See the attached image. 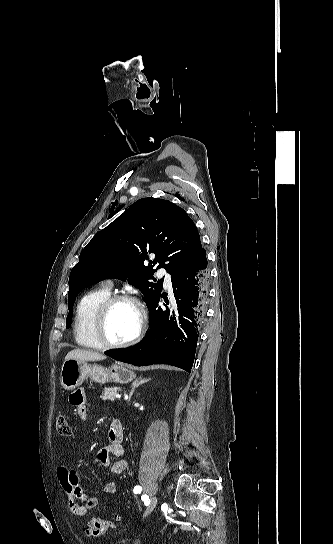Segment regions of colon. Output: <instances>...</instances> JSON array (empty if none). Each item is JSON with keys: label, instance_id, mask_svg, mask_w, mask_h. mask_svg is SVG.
<instances>
[{"label": "colon", "instance_id": "5ec220e1", "mask_svg": "<svg viewBox=\"0 0 333 544\" xmlns=\"http://www.w3.org/2000/svg\"><path fill=\"white\" fill-rule=\"evenodd\" d=\"M56 430L61 436H70L72 431L65 416L60 415L56 420ZM118 518L108 520L103 518H95L88 523V532L92 535L99 536L113 529L117 525Z\"/></svg>", "mask_w": 333, "mask_h": 544}]
</instances>
